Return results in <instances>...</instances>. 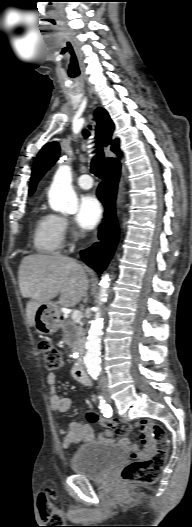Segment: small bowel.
Here are the masks:
<instances>
[{
	"instance_id": "c3829d8e",
	"label": "small bowel",
	"mask_w": 192,
	"mask_h": 527,
	"mask_svg": "<svg viewBox=\"0 0 192 527\" xmlns=\"http://www.w3.org/2000/svg\"><path fill=\"white\" fill-rule=\"evenodd\" d=\"M47 384L50 388L49 401L51 409L58 413H67L72 407V400L67 397L60 396L56 391V375L49 373L46 377ZM131 427V432L133 430ZM142 435L143 449H138L137 446H131L129 440L126 437H121L117 444L120 446L128 447L131 456L134 458H146L154 453V444L149 436L147 428H142L137 425ZM62 435L61 446L64 449H68L74 444L80 442H92L95 439V434L92 427L86 423L71 422L66 428L61 429ZM112 432L105 430L102 432L100 439L103 441H111Z\"/></svg>"
}]
</instances>
